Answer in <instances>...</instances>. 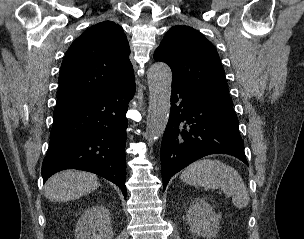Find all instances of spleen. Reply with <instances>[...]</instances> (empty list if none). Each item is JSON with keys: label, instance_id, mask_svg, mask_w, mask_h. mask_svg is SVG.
<instances>
[{"label": "spleen", "instance_id": "1", "mask_svg": "<svg viewBox=\"0 0 304 239\" xmlns=\"http://www.w3.org/2000/svg\"><path fill=\"white\" fill-rule=\"evenodd\" d=\"M180 178L192 186L221 189L232 197L236 208H245L249 203L247 187L239 173L219 160H198L185 168Z\"/></svg>", "mask_w": 304, "mask_h": 239}]
</instances>
